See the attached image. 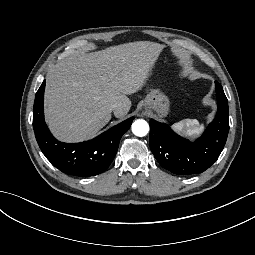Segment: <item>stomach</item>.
<instances>
[{"mask_svg":"<svg viewBox=\"0 0 255 255\" xmlns=\"http://www.w3.org/2000/svg\"><path fill=\"white\" fill-rule=\"evenodd\" d=\"M168 107V98L158 90H152L151 93L146 96L143 103L144 110L149 112L155 110L158 113V117H163L166 115Z\"/></svg>","mask_w":255,"mask_h":255,"instance_id":"0dacf381","label":"stomach"}]
</instances>
